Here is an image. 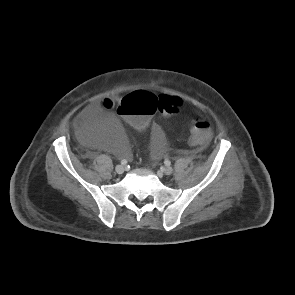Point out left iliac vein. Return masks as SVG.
Listing matches in <instances>:
<instances>
[{"instance_id": "obj_1", "label": "left iliac vein", "mask_w": 295, "mask_h": 295, "mask_svg": "<svg viewBox=\"0 0 295 295\" xmlns=\"http://www.w3.org/2000/svg\"><path fill=\"white\" fill-rule=\"evenodd\" d=\"M162 172H163L165 175H170V174L173 173V168L170 167V166H167V167H165V168L163 169Z\"/></svg>"}]
</instances>
